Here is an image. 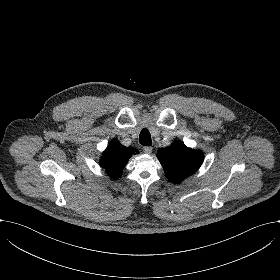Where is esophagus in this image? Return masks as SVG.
<instances>
[{
    "label": "esophagus",
    "instance_id": "1",
    "mask_svg": "<svg viewBox=\"0 0 280 280\" xmlns=\"http://www.w3.org/2000/svg\"><path fill=\"white\" fill-rule=\"evenodd\" d=\"M143 151L145 154H151L152 153V147L151 146H145L143 148Z\"/></svg>",
    "mask_w": 280,
    "mask_h": 280
}]
</instances>
